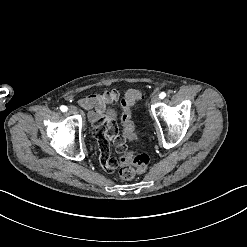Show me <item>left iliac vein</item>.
Returning a JSON list of instances; mask_svg holds the SVG:
<instances>
[{"label":"left iliac vein","mask_w":247,"mask_h":247,"mask_svg":"<svg viewBox=\"0 0 247 247\" xmlns=\"http://www.w3.org/2000/svg\"><path fill=\"white\" fill-rule=\"evenodd\" d=\"M159 101V96L157 94H153L151 97H150V103L151 104H155Z\"/></svg>","instance_id":"left-iliac-vein-1"}]
</instances>
